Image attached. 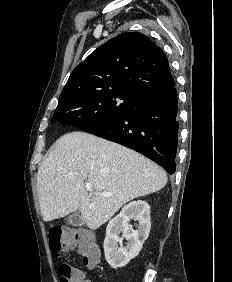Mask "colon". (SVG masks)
<instances>
[{"label":"colon","mask_w":232,"mask_h":282,"mask_svg":"<svg viewBox=\"0 0 232 282\" xmlns=\"http://www.w3.org/2000/svg\"><path fill=\"white\" fill-rule=\"evenodd\" d=\"M49 248L58 256L64 249L76 248L87 267H94L99 262V251L91 235L85 231H63L53 228L49 232ZM76 268L62 263L58 266L60 282H80Z\"/></svg>","instance_id":"5ec220e1"}]
</instances>
